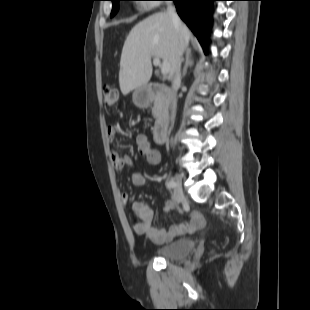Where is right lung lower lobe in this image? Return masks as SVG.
I'll use <instances>...</instances> for the list:
<instances>
[{
    "instance_id": "98d812e1",
    "label": "right lung lower lobe",
    "mask_w": 310,
    "mask_h": 310,
    "mask_svg": "<svg viewBox=\"0 0 310 310\" xmlns=\"http://www.w3.org/2000/svg\"><path fill=\"white\" fill-rule=\"evenodd\" d=\"M177 13L196 35L205 53L208 52L211 33V14L214 1L218 0H171Z\"/></svg>"
}]
</instances>
